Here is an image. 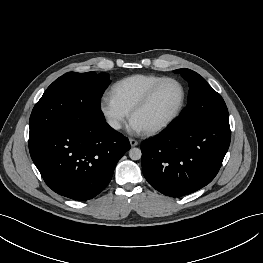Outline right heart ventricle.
Instances as JSON below:
<instances>
[{
	"label": "right heart ventricle",
	"mask_w": 263,
	"mask_h": 263,
	"mask_svg": "<svg viewBox=\"0 0 263 263\" xmlns=\"http://www.w3.org/2000/svg\"><path fill=\"white\" fill-rule=\"evenodd\" d=\"M164 78L154 74H136L115 82L110 94L126 111H131L134 105L159 80Z\"/></svg>",
	"instance_id": "e07e8e85"
}]
</instances>
